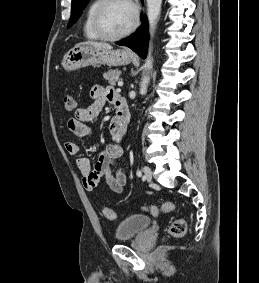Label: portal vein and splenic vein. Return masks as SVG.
<instances>
[{"label": "portal vein and splenic vein", "mask_w": 259, "mask_h": 283, "mask_svg": "<svg viewBox=\"0 0 259 283\" xmlns=\"http://www.w3.org/2000/svg\"><path fill=\"white\" fill-rule=\"evenodd\" d=\"M118 86H120V87L123 86V81L122 80L118 81Z\"/></svg>", "instance_id": "obj_1"}]
</instances>
